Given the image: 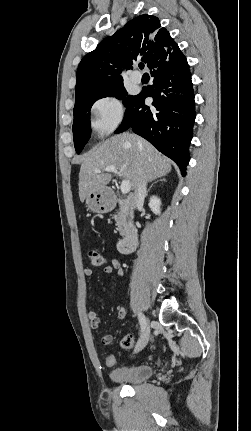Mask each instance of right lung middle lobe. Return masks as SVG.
<instances>
[{
    "label": "right lung middle lobe",
    "mask_w": 251,
    "mask_h": 431,
    "mask_svg": "<svg viewBox=\"0 0 251 431\" xmlns=\"http://www.w3.org/2000/svg\"><path fill=\"white\" fill-rule=\"evenodd\" d=\"M107 96L116 97L120 100L126 98L123 101L125 106L133 98V96H127L123 82H119L109 87L75 97L73 137L77 154L82 151L88 139L90 138V109L92 105L98 99Z\"/></svg>",
    "instance_id": "dd1d6c3e"
}]
</instances>
